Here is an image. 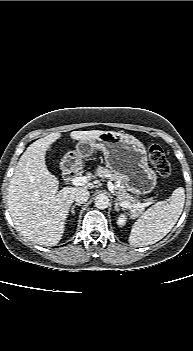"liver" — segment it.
<instances>
[{"label":"liver","instance_id":"6515ba94","mask_svg":"<svg viewBox=\"0 0 193 351\" xmlns=\"http://www.w3.org/2000/svg\"><path fill=\"white\" fill-rule=\"evenodd\" d=\"M104 131H72L75 141H89ZM60 133H51L33 142L20 157L8 187V210L17 229L32 242L54 246L62 238L70 206L82 187L59 189L58 179L45 164L46 151L60 139Z\"/></svg>","mask_w":193,"mask_h":351}]
</instances>
